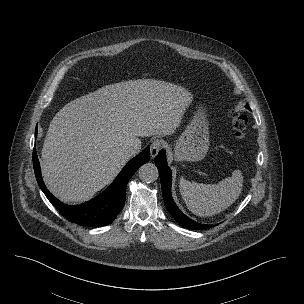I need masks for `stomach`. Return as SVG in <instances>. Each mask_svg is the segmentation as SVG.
<instances>
[{"mask_svg": "<svg viewBox=\"0 0 304 304\" xmlns=\"http://www.w3.org/2000/svg\"><path fill=\"white\" fill-rule=\"evenodd\" d=\"M209 122L203 107L194 114L185 131L176 141L174 158L177 161L202 160L209 150Z\"/></svg>", "mask_w": 304, "mask_h": 304, "instance_id": "1", "label": "stomach"}]
</instances>
